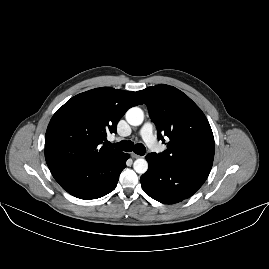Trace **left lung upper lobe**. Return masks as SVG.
Masks as SVG:
<instances>
[{
  "instance_id": "5c2ea615",
  "label": "left lung upper lobe",
  "mask_w": 269,
  "mask_h": 269,
  "mask_svg": "<svg viewBox=\"0 0 269 269\" xmlns=\"http://www.w3.org/2000/svg\"><path fill=\"white\" fill-rule=\"evenodd\" d=\"M137 94L148 107L151 120L169 138L167 149L149 153L164 164L208 176L214 159V137L201 109L183 92L169 85H156Z\"/></svg>"
}]
</instances>
